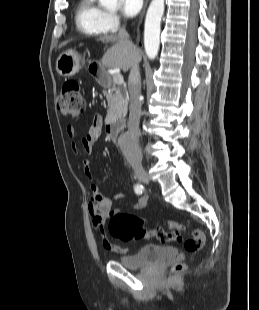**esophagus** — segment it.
Wrapping results in <instances>:
<instances>
[{
  "label": "esophagus",
  "instance_id": "34e87169",
  "mask_svg": "<svg viewBox=\"0 0 259 310\" xmlns=\"http://www.w3.org/2000/svg\"><path fill=\"white\" fill-rule=\"evenodd\" d=\"M147 4H148V0H146V2H145V4H144L143 10H142V12H141V16H140L139 23H141V21H142V19H143V16H144V14H145V10H146Z\"/></svg>",
  "mask_w": 259,
  "mask_h": 310
}]
</instances>
